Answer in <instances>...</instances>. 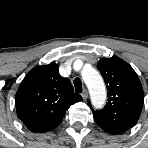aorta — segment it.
<instances>
[{
	"label": "aorta",
	"instance_id": "obj_1",
	"mask_svg": "<svg viewBox=\"0 0 148 148\" xmlns=\"http://www.w3.org/2000/svg\"><path fill=\"white\" fill-rule=\"evenodd\" d=\"M82 77L89 90L92 105L95 108H102L106 101V87L101 75L91 66L85 65Z\"/></svg>",
	"mask_w": 148,
	"mask_h": 148
}]
</instances>
